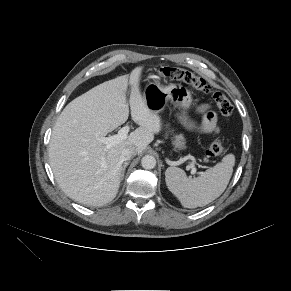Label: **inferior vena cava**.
Here are the masks:
<instances>
[{
	"instance_id": "1",
	"label": "inferior vena cava",
	"mask_w": 291,
	"mask_h": 291,
	"mask_svg": "<svg viewBox=\"0 0 291 291\" xmlns=\"http://www.w3.org/2000/svg\"><path fill=\"white\" fill-rule=\"evenodd\" d=\"M137 154L136 150L134 148H125L122 150L121 155H120V160L126 161L130 160Z\"/></svg>"
}]
</instances>
